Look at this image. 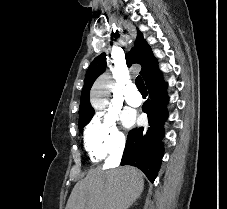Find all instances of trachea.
Instances as JSON below:
<instances>
[{"label":"trachea","mask_w":227,"mask_h":209,"mask_svg":"<svg viewBox=\"0 0 227 209\" xmlns=\"http://www.w3.org/2000/svg\"><path fill=\"white\" fill-rule=\"evenodd\" d=\"M135 84H136V86H137V88H138V90L140 92H142V91L146 92L147 91V88H146V86H145V84L143 82V79H142V77L140 75H138V77H136Z\"/></svg>","instance_id":"obj_1"}]
</instances>
